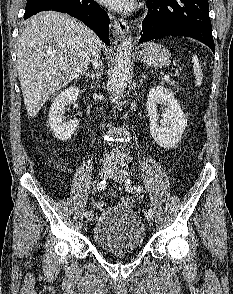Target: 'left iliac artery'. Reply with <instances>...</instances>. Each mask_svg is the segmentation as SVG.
<instances>
[{
	"mask_svg": "<svg viewBox=\"0 0 233 294\" xmlns=\"http://www.w3.org/2000/svg\"><path fill=\"white\" fill-rule=\"evenodd\" d=\"M132 174H133V171H131V175H132ZM134 189H135L137 192H141V191H142V188H141L140 186L134 187ZM128 192H132V191H128ZM147 212L150 213V214H153V209L150 208V209H148Z\"/></svg>",
	"mask_w": 233,
	"mask_h": 294,
	"instance_id": "left-iliac-artery-1",
	"label": "left iliac artery"
}]
</instances>
